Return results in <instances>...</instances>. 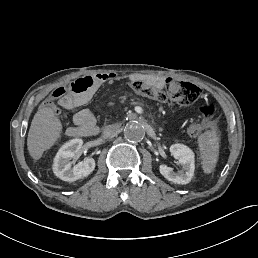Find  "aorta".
Instances as JSON below:
<instances>
[{"mask_svg":"<svg viewBox=\"0 0 258 258\" xmlns=\"http://www.w3.org/2000/svg\"><path fill=\"white\" fill-rule=\"evenodd\" d=\"M145 135L143 126L137 121L129 122L124 128V136L130 142H140Z\"/></svg>","mask_w":258,"mask_h":258,"instance_id":"1","label":"aorta"}]
</instances>
